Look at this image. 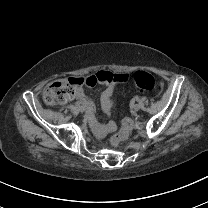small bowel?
Segmentation results:
<instances>
[{
  "label": "small bowel",
  "mask_w": 208,
  "mask_h": 208,
  "mask_svg": "<svg viewBox=\"0 0 208 208\" xmlns=\"http://www.w3.org/2000/svg\"><path fill=\"white\" fill-rule=\"evenodd\" d=\"M125 81V75H116L115 82H123ZM113 84H108L106 87H104L100 93V99H101V105L103 110L106 113L110 112L111 105H112V94H113ZM74 101H78L85 105L86 108V115L91 123L95 124V131L99 134H105L108 131H111L114 128L113 122H109L105 125H98L96 123V119L94 117V107L92 103L89 101L87 97L84 96V94L81 92V90H78L73 97Z\"/></svg>",
  "instance_id": "obj_1"
}]
</instances>
